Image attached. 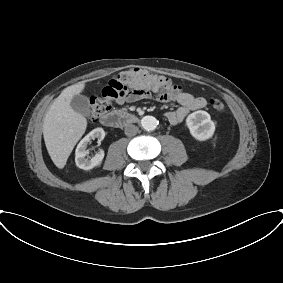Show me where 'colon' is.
I'll list each match as a JSON object with an SVG mask.
<instances>
[{"mask_svg": "<svg viewBox=\"0 0 283 283\" xmlns=\"http://www.w3.org/2000/svg\"><path fill=\"white\" fill-rule=\"evenodd\" d=\"M171 82L164 75L157 74L141 68H129L118 73L102 92L91 99L90 119L97 121L110 109L112 102L125 96L127 93L149 97L154 92L163 93L170 88ZM210 107L219 113L225 111V105L218 98L209 100Z\"/></svg>", "mask_w": 283, "mask_h": 283, "instance_id": "obj_1", "label": "colon"}]
</instances>
